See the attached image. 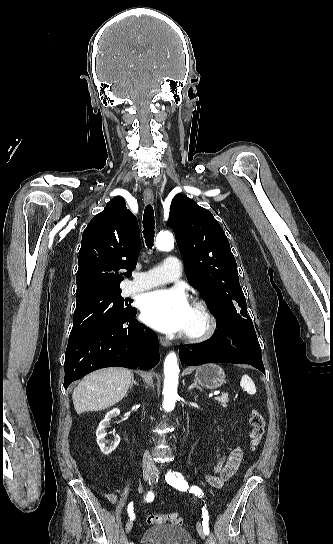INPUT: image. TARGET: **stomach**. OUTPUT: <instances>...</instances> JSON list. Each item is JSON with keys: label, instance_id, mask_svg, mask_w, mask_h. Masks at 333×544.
Returning <instances> with one entry per match:
<instances>
[{"label": "stomach", "instance_id": "stomach-1", "mask_svg": "<svg viewBox=\"0 0 333 544\" xmlns=\"http://www.w3.org/2000/svg\"><path fill=\"white\" fill-rule=\"evenodd\" d=\"M195 378L202 387L217 389L225 382V373L219 365L208 363L197 368Z\"/></svg>", "mask_w": 333, "mask_h": 544}]
</instances>
